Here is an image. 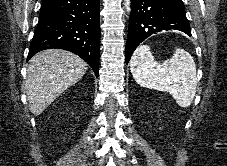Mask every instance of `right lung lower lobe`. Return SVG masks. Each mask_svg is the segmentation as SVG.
Listing matches in <instances>:
<instances>
[{
  "label": "right lung lower lobe",
  "instance_id": "right-lung-lower-lobe-1",
  "mask_svg": "<svg viewBox=\"0 0 227 166\" xmlns=\"http://www.w3.org/2000/svg\"><path fill=\"white\" fill-rule=\"evenodd\" d=\"M99 9V0H43L27 60L45 49H64L85 60L98 77Z\"/></svg>",
  "mask_w": 227,
  "mask_h": 166
}]
</instances>
